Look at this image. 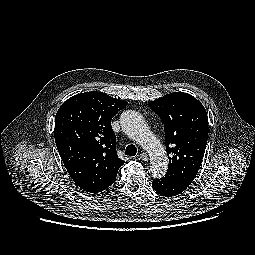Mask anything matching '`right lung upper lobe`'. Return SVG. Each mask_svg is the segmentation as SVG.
I'll use <instances>...</instances> for the list:
<instances>
[{"mask_svg": "<svg viewBox=\"0 0 255 255\" xmlns=\"http://www.w3.org/2000/svg\"><path fill=\"white\" fill-rule=\"evenodd\" d=\"M127 102L103 92L72 96L55 116V142L75 184L88 191L115 181L125 161L118 158L112 117Z\"/></svg>", "mask_w": 255, "mask_h": 255, "instance_id": "right-lung-upper-lobe-1", "label": "right lung upper lobe"}]
</instances>
